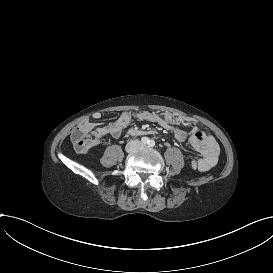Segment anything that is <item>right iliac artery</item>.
Here are the masks:
<instances>
[{
    "mask_svg": "<svg viewBox=\"0 0 273 273\" xmlns=\"http://www.w3.org/2000/svg\"><path fill=\"white\" fill-rule=\"evenodd\" d=\"M141 141H142L143 144H148V143H149V138L143 137V138L141 139Z\"/></svg>",
    "mask_w": 273,
    "mask_h": 273,
    "instance_id": "right-iliac-artery-1",
    "label": "right iliac artery"
}]
</instances>
